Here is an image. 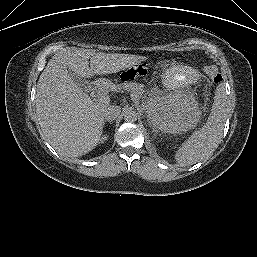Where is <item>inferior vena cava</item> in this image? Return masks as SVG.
<instances>
[{"mask_svg":"<svg viewBox=\"0 0 257 257\" xmlns=\"http://www.w3.org/2000/svg\"><path fill=\"white\" fill-rule=\"evenodd\" d=\"M121 113V108L115 105H105L101 109V115L105 120H115Z\"/></svg>","mask_w":257,"mask_h":257,"instance_id":"602c4592","label":"inferior vena cava"}]
</instances>
